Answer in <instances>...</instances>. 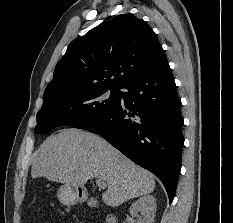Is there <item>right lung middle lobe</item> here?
Returning a JSON list of instances; mask_svg holds the SVG:
<instances>
[{
    "label": "right lung middle lobe",
    "mask_w": 233,
    "mask_h": 223,
    "mask_svg": "<svg viewBox=\"0 0 233 223\" xmlns=\"http://www.w3.org/2000/svg\"><path fill=\"white\" fill-rule=\"evenodd\" d=\"M110 90L109 97L105 93ZM118 88L98 87L43 104L37 113L35 132L48 133L62 125L79 128L118 105Z\"/></svg>",
    "instance_id": "obj_1"
}]
</instances>
